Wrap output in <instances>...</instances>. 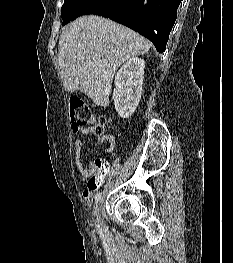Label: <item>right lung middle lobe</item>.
<instances>
[{
	"label": "right lung middle lobe",
	"instance_id": "1",
	"mask_svg": "<svg viewBox=\"0 0 233 263\" xmlns=\"http://www.w3.org/2000/svg\"><path fill=\"white\" fill-rule=\"evenodd\" d=\"M122 0H65L61 17L65 25L79 16L114 11Z\"/></svg>",
	"mask_w": 233,
	"mask_h": 263
}]
</instances>
